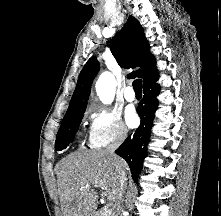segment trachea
Returning a JSON list of instances; mask_svg holds the SVG:
<instances>
[{"instance_id": "obj_1", "label": "trachea", "mask_w": 221, "mask_h": 216, "mask_svg": "<svg viewBox=\"0 0 221 216\" xmlns=\"http://www.w3.org/2000/svg\"><path fill=\"white\" fill-rule=\"evenodd\" d=\"M133 88L135 93H142V80L141 79L134 80Z\"/></svg>"}]
</instances>
